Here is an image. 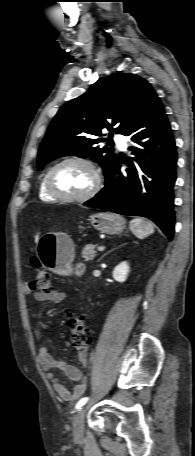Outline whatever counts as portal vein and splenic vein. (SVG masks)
Returning <instances> with one entry per match:
<instances>
[{
    "label": "portal vein and splenic vein",
    "mask_w": 195,
    "mask_h": 456,
    "mask_svg": "<svg viewBox=\"0 0 195 456\" xmlns=\"http://www.w3.org/2000/svg\"><path fill=\"white\" fill-rule=\"evenodd\" d=\"M105 247L104 246H100L97 248L98 251H104Z\"/></svg>",
    "instance_id": "18ae733b"
}]
</instances>
